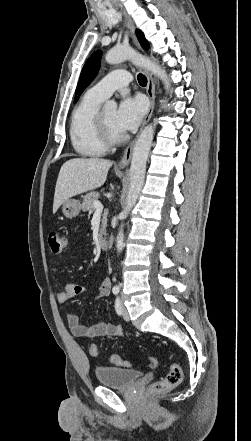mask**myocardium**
Wrapping results in <instances>:
<instances>
[{
  "label": "myocardium",
  "instance_id": "obj_1",
  "mask_svg": "<svg viewBox=\"0 0 251 441\" xmlns=\"http://www.w3.org/2000/svg\"><path fill=\"white\" fill-rule=\"evenodd\" d=\"M96 125H97L99 137L107 147L115 146L125 141L126 136L124 134L115 136L110 132V130L108 129L105 123L102 111L98 112Z\"/></svg>",
  "mask_w": 251,
  "mask_h": 441
}]
</instances>
